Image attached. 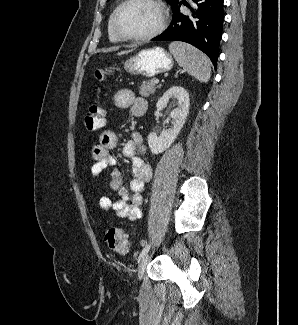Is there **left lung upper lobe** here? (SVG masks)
I'll use <instances>...</instances> for the list:
<instances>
[{
    "label": "left lung upper lobe",
    "instance_id": "obj_1",
    "mask_svg": "<svg viewBox=\"0 0 298 325\" xmlns=\"http://www.w3.org/2000/svg\"><path fill=\"white\" fill-rule=\"evenodd\" d=\"M170 4L174 3L176 0H167Z\"/></svg>",
    "mask_w": 298,
    "mask_h": 325
}]
</instances>
